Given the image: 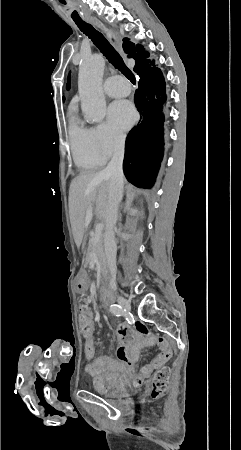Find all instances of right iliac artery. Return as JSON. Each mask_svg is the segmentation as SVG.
<instances>
[{
  "label": "right iliac artery",
  "mask_w": 241,
  "mask_h": 450,
  "mask_svg": "<svg viewBox=\"0 0 241 450\" xmlns=\"http://www.w3.org/2000/svg\"><path fill=\"white\" fill-rule=\"evenodd\" d=\"M110 311L115 315V316H121L122 314V307L117 305V304H113L110 307Z\"/></svg>",
  "instance_id": "82829eb1"
}]
</instances>
